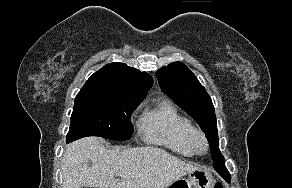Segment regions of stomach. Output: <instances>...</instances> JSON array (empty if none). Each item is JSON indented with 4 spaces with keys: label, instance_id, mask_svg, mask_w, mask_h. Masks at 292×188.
I'll return each instance as SVG.
<instances>
[{
    "label": "stomach",
    "instance_id": "stomach-1",
    "mask_svg": "<svg viewBox=\"0 0 292 188\" xmlns=\"http://www.w3.org/2000/svg\"><path fill=\"white\" fill-rule=\"evenodd\" d=\"M215 180L208 169L198 168L187 174L186 177H180L167 188H214Z\"/></svg>",
    "mask_w": 292,
    "mask_h": 188
}]
</instances>
